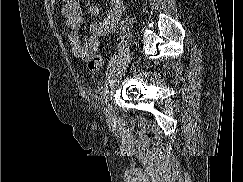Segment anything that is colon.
Returning <instances> with one entry per match:
<instances>
[{
  "instance_id": "5ec220e1",
  "label": "colon",
  "mask_w": 243,
  "mask_h": 182,
  "mask_svg": "<svg viewBox=\"0 0 243 182\" xmlns=\"http://www.w3.org/2000/svg\"><path fill=\"white\" fill-rule=\"evenodd\" d=\"M88 68L92 71L99 72L103 68V58L101 55L96 54L88 60Z\"/></svg>"
}]
</instances>
